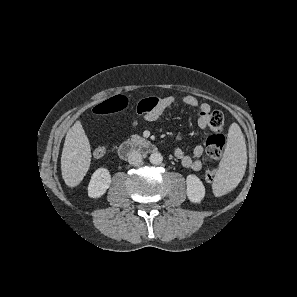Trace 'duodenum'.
<instances>
[{"label":"duodenum","instance_id":"1","mask_svg":"<svg viewBox=\"0 0 297 297\" xmlns=\"http://www.w3.org/2000/svg\"><path fill=\"white\" fill-rule=\"evenodd\" d=\"M155 146L144 138L128 140L123 142L118 148V154L122 159H128L136 152L151 153Z\"/></svg>","mask_w":297,"mask_h":297}]
</instances>
